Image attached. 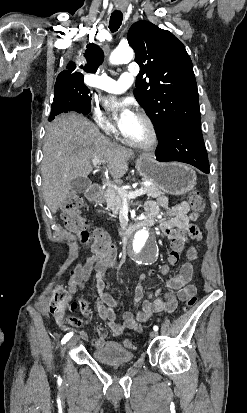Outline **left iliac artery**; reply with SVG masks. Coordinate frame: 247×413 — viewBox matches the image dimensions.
<instances>
[{
    "label": "left iliac artery",
    "instance_id": "1",
    "mask_svg": "<svg viewBox=\"0 0 247 413\" xmlns=\"http://www.w3.org/2000/svg\"><path fill=\"white\" fill-rule=\"evenodd\" d=\"M154 331H158V326L153 327Z\"/></svg>",
    "mask_w": 247,
    "mask_h": 413
}]
</instances>
